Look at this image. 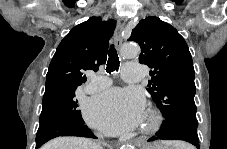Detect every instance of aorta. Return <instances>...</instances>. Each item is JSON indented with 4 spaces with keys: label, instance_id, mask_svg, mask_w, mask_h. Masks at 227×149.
<instances>
[{
    "label": "aorta",
    "instance_id": "762f6f07",
    "mask_svg": "<svg viewBox=\"0 0 227 149\" xmlns=\"http://www.w3.org/2000/svg\"><path fill=\"white\" fill-rule=\"evenodd\" d=\"M139 51L140 49L138 46L126 45L122 49V56L126 59L135 58L138 55ZM127 149H130V148H127Z\"/></svg>",
    "mask_w": 227,
    "mask_h": 149
}]
</instances>
